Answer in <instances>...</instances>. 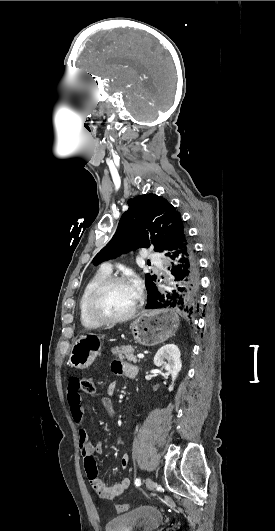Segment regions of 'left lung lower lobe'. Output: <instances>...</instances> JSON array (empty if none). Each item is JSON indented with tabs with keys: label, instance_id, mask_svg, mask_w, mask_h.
Segmentation results:
<instances>
[{
	"label": "left lung lower lobe",
	"instance_id": "0a47b994",
	"mask_svg": "<svg viewBox=\"0 0 275 531\" xmlns=\"http://www.w3.org/2000/svg\"><path fill=\"white\" fill-rule=\"evenodd\" d=\"M165 255L171 260L168 270L172 282L167 290L157 291L146 308H175L191 318L198 311L200 271L193 244L183 225L175 232Z\"/></svg>",
	"mask_w": 275,
	"mask_h": 531
}]
</instances>
